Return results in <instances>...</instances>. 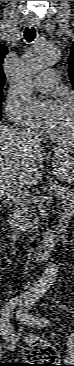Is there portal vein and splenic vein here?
<instances>
[{"mask_svg":"<svg viewBox=\"0 0 74 366\" xmlns=\"http://www.w3.org/2000/svg\"><path fill=\"white\" fill-rule=\"evenodd\" d=\"M6 195L8 197L12 198L13 200H20L21 198H24L23 195L16 196L15 194H13V192L11 190H7ZM44 199L49 200L50 202L54 201V197H52V196H42V197H40V200H44Z\"/></svg>","mask_w":74,"mask_h":366,"instance_id":"obj_1","label":"portal vein and splenic vein"}]
</instances>
